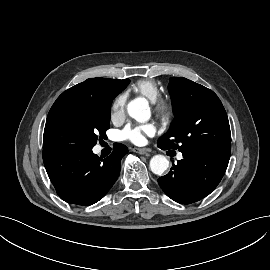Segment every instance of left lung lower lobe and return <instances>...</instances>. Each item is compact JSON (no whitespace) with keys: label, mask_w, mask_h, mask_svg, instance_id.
<instances>
[{"label":"left lung lower lobe","mask_w":270,"mask_h":270,"mask_svg":"<svg viewBox=\"0 0 270 270\" xmlns=\"http://www.w3.org/2000/svg\"><path fill=\"white\" fill-rule=\"evenodd\" d=\"M183 159L158 179L162 190L181 204L197 202L209 195L221 181L230 152L214 149L183 152Z\"/></svg>","instance_id":"left-lung-lower-lobe-1"}]
</instances>
